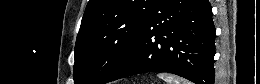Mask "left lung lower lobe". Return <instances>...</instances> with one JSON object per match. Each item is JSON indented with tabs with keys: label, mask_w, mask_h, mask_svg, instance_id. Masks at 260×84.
<instances>
[{
	"label": "left lung lower lobe",
	"mask_w": 260,
	"mask_h": 84,
	"mask_svg": "<svg viewBox=\"0 0 260 84\" xmlns=\"http://www.w3.org/2000/svg\"><path fill=\"white\" fill-rule=\"evenodd\" d=\"M214 39L208 0H156L132 50L107 82L162 71L214 84Z\"/></svg>",
	"instance_id": "0a47b994"
}]
</instances>
